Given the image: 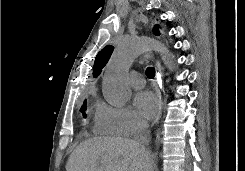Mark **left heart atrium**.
<instances>
[{
    "label": "left heart atrium",
    "instance_id": "39dd6f15",
    "mask_svg": "<svg viewBox=\"0 0 245 171\" xmlns=\"http://www.w3.org/2000/svg\"><path fill=\"white\" fill-rule=\"evenodd\" d=\"M134 105L137 111L145 118H153L158 111V99L150 91L138 92L134 97Z\"/></svg>",
    "mask_w": 245,
    "mask_h": 171
}]
</instances>
